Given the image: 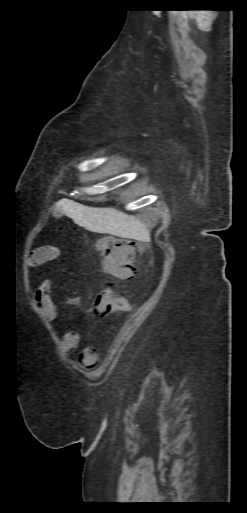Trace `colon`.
<instances>
[{"mask_svg": "<svg viewBox=\"0 0 247 513\" xmlns=\"http://www.w3.org/2000/svg\"><path fill=\"white\" fill-rule=\"evenodd\" d=\"M98 250L102 256L103 269L107 274L120 279H130L136 273V247L126 238L108 236L100 240ZM127 305L126 299L113 289H104L92 305L96 317H107L111 310H120Z\"/></svg>", "mask_w": 247, "mask_h": 513, "instance_id": "5ec220e1", "label": "colon"}]
</instances>
